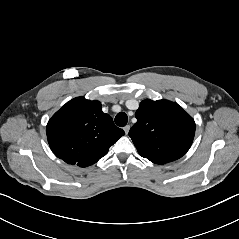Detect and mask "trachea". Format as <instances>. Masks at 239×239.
Segmentation results:
<instances>
[{
	"instance_id": "trachea-1",
	"label": "trachea",
	"mask_w": 239,
	"mask_h": 239,
	"mask_svg": "<svg viewBox=\"0 0 239 239\" xmlns=\"http://www.w3.org/2000/svg\"><path fill=\"white\" fill-rule=\"evenodd\" d=\"M128 122V117L126 113L120 112L115 117V123L119 127H124Z\"/></svg>"
}]
</instances>
